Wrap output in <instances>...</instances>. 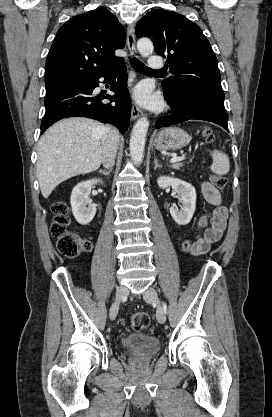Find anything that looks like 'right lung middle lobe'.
Here are the masks:
<instances>
[{
	"instance_id": "right-lung-middle-lobe-1",
	"label": "right lung middle lobe",
	"mask_w": 272,
	"mask_h": 417,
	"mask_svg": "<svg viewBox=\"0 0 272 417\" xmlns=\"http://www.w3.org/2000/svg\"><path fill=\"white\" fill-rule=\"evenodd\" d=\"M53 89H55V88H52V89L46 88V94H49Z\"/></svg>"
}]
</instances>
